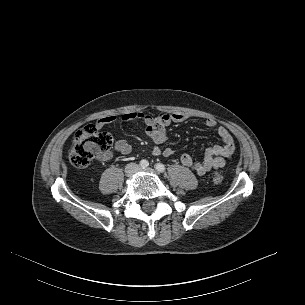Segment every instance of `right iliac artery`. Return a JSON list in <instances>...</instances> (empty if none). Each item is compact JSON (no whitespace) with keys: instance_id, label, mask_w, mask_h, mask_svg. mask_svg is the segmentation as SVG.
Wrapping results in <instances>:
<instances>
[{"instance_id":"right-iliac-artery-1","label":"right iliac artery","mask_w":305,"mask_h":305,"mask_svg":"<svg viewBox=\"0 0 305 305\" xmlns=\"http://www.w3.org/2000/svg\"><path fill=\"white\" fill-rule=\"evenodd\" d=\"M148 165H149V162L147 160L144 159V160L140 161V166L142 168H146V167H148Z\"/></svg>"}]
</instances>
